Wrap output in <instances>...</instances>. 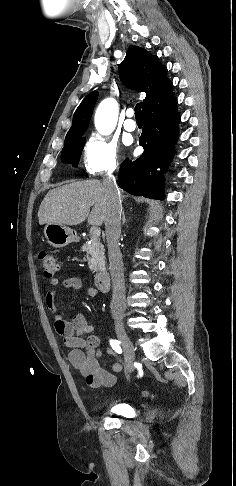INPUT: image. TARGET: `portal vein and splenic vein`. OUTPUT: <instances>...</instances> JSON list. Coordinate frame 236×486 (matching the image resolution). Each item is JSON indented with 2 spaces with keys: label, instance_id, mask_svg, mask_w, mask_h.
<instances>
[{
  "label": "portal vein and splenic vein",
  "instance_id": "18ae733b",
  "mask_svg": "<svg viewBox=\"0 0 236 486\" xmlns=\"http://www.w3.org/2000/svg\"><path fill=\"white\" fill-rule=\"evenodd\" d=\"M90 233H91L92 237L97 238L101 234V229L97 226H93L90 229Z\"/></svg>",
  "mask_w": 236,
  "mask_h": 486
}]
</instances>
